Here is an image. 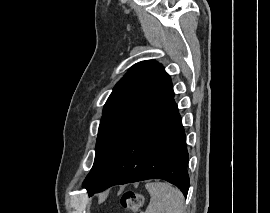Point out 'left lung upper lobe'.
I'll use <instances>...</instances> for the list:
<instances>
[{
    "instance_id": "1",
    "label": "left lung upper lobe",
    "mask_w": 270,
    "mask_h": 213,
    "mask_svg": "<svg viewBox=\"0 0 270 213\" xmlns=\"http://www.w3.org/2000/svg\"><path fill=\"white\" fill-rule=\"evenodd\" d=\"M172 82L156 61L133 65L107 99L100 122L94 165L85 179L90 193L146 117L171 93Z\"/></svg>"
}]
</instances>
